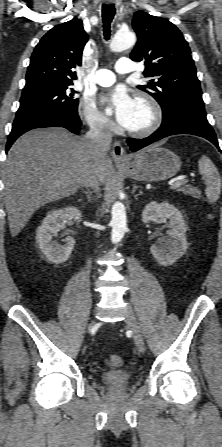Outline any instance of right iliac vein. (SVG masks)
<instances>
[{
	"instance_id": "1",
	"label": "right iliac vein",
	"mask_w": 222,
	"mask_h": 447,
	"mask_svg": "<svg viewBox=\"0 0 222 447\" xmlns=\"http://www.w3.org/2000/svg\"><path fill=\"white\" fill-rule=\"evenodd\" d=\"M94 323H95V321H92V322H91V324H90V326H93V325H94Z\"/></svg>"
}]
</instances>
